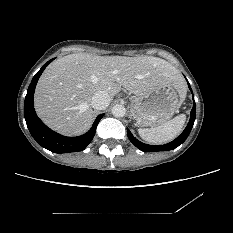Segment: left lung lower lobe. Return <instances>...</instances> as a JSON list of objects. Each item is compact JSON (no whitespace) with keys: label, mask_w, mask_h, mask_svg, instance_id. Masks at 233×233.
<instances>
[{"label":"left lung lower lobe","mask_w":233,"mask_h":233,"mask_svg":"<svg viewBox=\"0 0 233 233\" xmlns=\"http://www.w3.org/2000/svg\"><path fill=\"white\" fill-rule=\"evenodd\" d=\"M188 86L192 92V89L190 87V84L188 83ZM193 94V92H192ZM193 97V108L191 110V116H190V121L187 125V127L185 128V130L172 142L167 143L165 145H148L145 143L140 142L139 140H137L132 133L130 132V130L127 128V135L129 140L141 151L143 152H158V151H169L172 149L177 148L179 145H181L189 136L191 129L194 125V121L196 118V105H195V101H194V95H192Z\"/></svg>","instance_id":"0a47b994"}]
</instances>
